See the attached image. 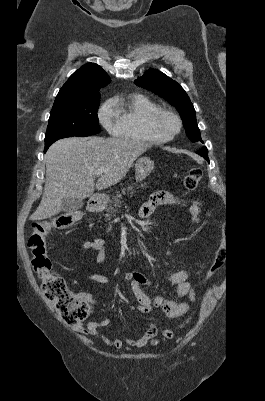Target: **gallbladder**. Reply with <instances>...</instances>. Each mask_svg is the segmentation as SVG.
Listing matches in <instances>:
<instances>
[{"label":"gallbladder","instance_id":"bac80fb5","mask_svg":"<svg viewBox=\"0 0 265 401\" xmlns=\"http://www.w3.org/2000/svg\"><path fill=\"white\" fill-rule=\"evenodd\" d=\"M84 203L82 198H73V196H65L61 203V209L64 213H75L78 209H82Z\"/></svg>","mask_w":265,"mask_h":401}]
</instances>
